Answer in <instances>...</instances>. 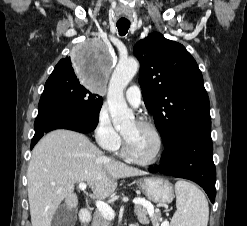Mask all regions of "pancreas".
Here are the masks:
<instances>
[{
    "mask_svg": "<svg viewBox=\"0 0 247 226\" xmlns=\"http://www.w3.org/2000/svg\"><path fill=\"white\" fill-rule=\"evenodd\" d=\"M134 212L137 215V218L140 223L142 224L149 223V218L147 217L148 211L144 206L136 205ZM151 221L154 224L159 223L161 221L160 214L159 213L155 214L151 218ZM92 226H110V221L106 219L99 211H95V213L93 214Z\"/></svg>",
    "mask_w": 247,
    "mask_h": 226,
    "instance_id": "obj_1",
    "label": "pancreas"
}]
</instances>
